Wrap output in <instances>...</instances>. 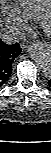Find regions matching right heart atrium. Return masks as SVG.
I'll list each match as a JSON object with an SVG mask.
<instances>
[{"mask_svg":"<svg viewBox=\"0 0 51 153\" xmlns=\"http://www.w3.org/2000/svg\"><path fill=\"white\" fill-rule=\"evenodd\" d=\"M7 23L16 29L17 32L22 33L28 31L29 20L25 17L23 12L19 9L8 10L5 14Z\"/></svg>","mask_w":51,"mask_h":153,"instance_id":"1","label":"right heart atrium"}]
</instances>
